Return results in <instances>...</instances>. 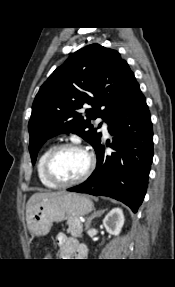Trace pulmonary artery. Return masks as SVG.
<instances>
[{
	"instance_id": "1",
	"label": "pulmonary artery",
	"mask_w": 175,
	"mask_h": 287,
	"mask_svg": "<svg viewBox=\"0 0 175 287\" xmlns=\"http://www.w3.org/2000/svg\"><path fill=\"white\" fill-rule=\"evenodd\" d=\"M98 122L102 123V130L104 132V134L108 133V125L106 122H104L102 119H98Z\"/></svg>"
}]
</instances>
